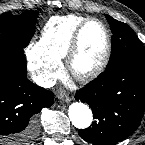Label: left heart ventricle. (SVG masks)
I'll return each instance as SVG.
<instances>
[{"label": "left heart ventricle", "instance_id": "1", "mask_svg": "<svg viewBox=\"0 0 145 145\" xmlns=\"http://www.w3.org/2000/svg\"><path fill=\"white\" fill-rule=\"evenodd\" d=\"M105 49V35L101 26L91 23L83 31L81 50L75 60V70L86 71L94 67L102 57Z\"/></svg>", "mask_w": 145, "mask_h": 145}]
</instances>
